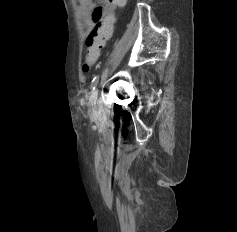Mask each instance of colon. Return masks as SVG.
<instances>
[{"instance_id": "5ec220e1", "label": "colon", "mask_w": 237, "mask_h": 232, "mask_svg": "<svg viewBox=\"0 0 237 232\" xmlns=\"http://www.w3.org/2000/svg\"><path fill=\"white\" fill-rule=\"evenodd\" d=\"M114 8L102 22L96 24L86 39L87 54L83 63V71L87 72L99 58L107 40L111 37L116 21V9L126 5L127 0H114Z\"/></svg>"}]
</instances>
